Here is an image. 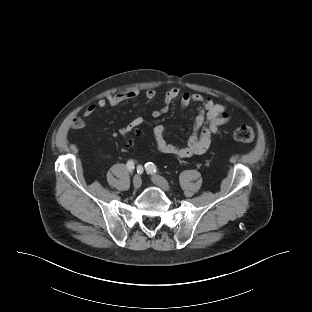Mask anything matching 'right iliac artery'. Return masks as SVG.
<instances>
[{
  "mask_svg": "<svg viewBox=\"0 0 312 312\" xmlns=\"http://www.w3.org/2000/svg\"><path fill=\"white\" fill-rule=\"evenodd\" d=\"M127 169H128L129 172L133 171V169H134V162H133V160H129L127 162ZM137 172L141 174L143 172V167L142 166H138L137 167Z\"/></svg>",
  "mask_w": 312,
  "mask_h": 312,
  "instance_id": "obj_1",
  "label": "right iliac artery"
}]
</instances>
